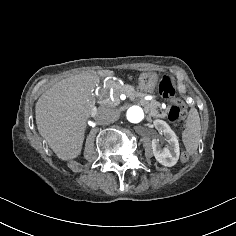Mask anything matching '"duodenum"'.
Instances as JSON below:
<instances>
[{
    "label": "duodenum",
    "instance_id": "410a0bca",
    "mask_svg": "<svg viewBox=\"0 0 236 236\" xmlns=\"http://www.w3.org/2000/svg\"><path fill=\"white\" fill-rule=\"evenodd\" d=\"M100 79H101L102 82H108V81L111 80V77L109 75L104 74V75L100 76Z\"/></svg>",
    "mask_w": 236,
    "mask_h": 236
}]
</instances>
